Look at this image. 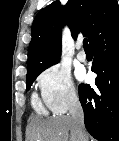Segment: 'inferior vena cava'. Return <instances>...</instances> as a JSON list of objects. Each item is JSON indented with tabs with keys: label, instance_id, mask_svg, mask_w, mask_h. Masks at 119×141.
Returning <instances> with one entry per match:
<instances>
[{
	"label": "inferior vena cava",
	"instance_id": "1",
	"mask_svg": "<svg viewBox=\"0 0 119 141\" xmlns=\"http://www.w3.org/2000/svg\"><path fill=\"white\" fill-rule=\"evenodd\" d=\"M69 114L73 120L75 131L79 141H88L84 131V114L82 106L76 94H71L68 101Z\"/></svg>",
	"mask_w": 119,
	"mask_h": 141
}]
</instances>
